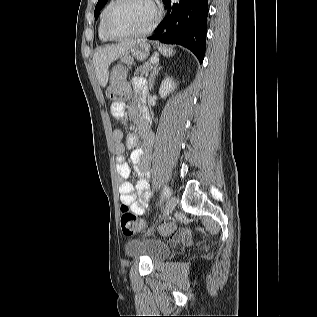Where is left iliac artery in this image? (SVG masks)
I'll use <instances>...</instances> for the list:
<instances>
[{"label":"left iliac artery","mask_w":317,"mask_h":317,"mask_svg":"<svg viewBox=\"0 0 317 317\" xmlns=\"http://www.w3.org/2000/svg\"><path fill=\"white\" fill-rule=\"evenodd\" d=\"M171 195V190L168 186H165L163 188V191H162V196H161V200H160V203L166 198V197H169Z\"/></svg>","instance_id":"left-iliac-artery-1"}]
</instances>
